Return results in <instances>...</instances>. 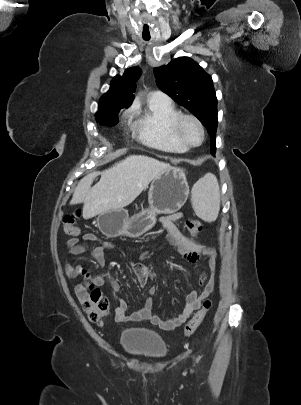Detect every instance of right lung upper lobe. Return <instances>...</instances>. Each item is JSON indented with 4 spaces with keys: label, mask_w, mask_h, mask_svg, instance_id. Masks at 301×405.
Returning <instances> with one entry per match:
<instances>
[{
    "label": "right lung upper lobe",
    "mask_w": 301,
    "mask_h": 405,
    "mask_svg": "<svg viewBox=\"0 0 301 405\" xmlns=\"http://www.w3.org/2000/svg\"><path fill=\"white\" fill-rule=\"evenodd\" d=\"M140 76L141 69L138 67L127 68L123 76H115L109 91L100 99L98 111L113 112L129 107L134 99L135 82Z\"/></svg>",
    "instance_id": "cb5924a9"
}]
</instances>
